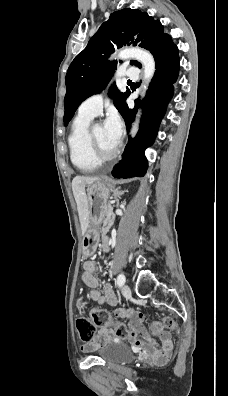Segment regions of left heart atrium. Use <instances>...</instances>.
Here are the masks:
<instances>
[{"label": "left heart atrium", "instance_id": "1", "mask_svg": "<svg viewBox=\"0 0 228 396\" xmlns=\"http://www.w3.org/2000/svg\"><path fill=\"white\" fill-rule=\"evenodd\" d=\"M104 128L109 137L116 143L119 142L122 134V122L115 111H111L104 123Z\"/></svg>", "mask_w": 228, "mask_h": 396}]
</instances>
